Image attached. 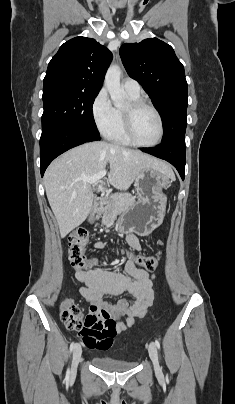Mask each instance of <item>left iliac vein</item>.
<instances>
[{
	"instance_id": "4c4485c4",
	"label": "left iliac vein",
	"mask_w": 235,
	"mask_h": 404,
	"mask_svg": "<svg viewBox=\"0 0 235 404\" xmlns=\"http://www.w3.org/2000/svg\"><path fill=\"white\" fill-rule=\"evenodd\" d=\"M148 351H149L150 358L153 362L154 369H155L156 373H159L161 371V368H160L159 361H158L157 348L154 343L149 344Z\"/></svg>"
}]
</instances>
